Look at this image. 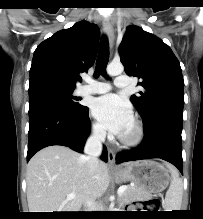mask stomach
Masks as SVG:
<instances>
[{
    "label": "stomach",
    "mask_w": 203,
    "mask_h": 219,
    "mask_svg": "<svg viewBox=\"0 0 203 219\" xmlns=\"http://www.w3.org/2000/svg\"><path fill=\"white\" fill-rule=\"evenodd\" d=\"M118 181H131L150 196L167 188L171 177L169 171L153 160H140L127 164L114 171Z\"/></svg>",
    "instance_id": "obj_1"
}]
</instances>
